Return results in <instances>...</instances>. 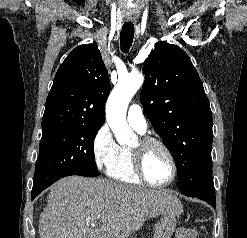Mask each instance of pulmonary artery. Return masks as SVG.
I'll return each mask as SVG.
<instances>
[{
	"instance_id": "e3ab8cb5",
	"label": "pulmonary artery",
	"mask_w": 247,
	"mask_h": 238,
	"mask_svg": "<svg viewBox=\"0 0 247 238\" xmlns=\"http://www.w3.org/2000/svg\"><path fill=\"white\" fill-rule=\"evenodd\" d=\"M128 123L139 132H145L147 122L143 111L138 104H133L129 107L127 112Z\"/></svg>"
}]
</instances>
